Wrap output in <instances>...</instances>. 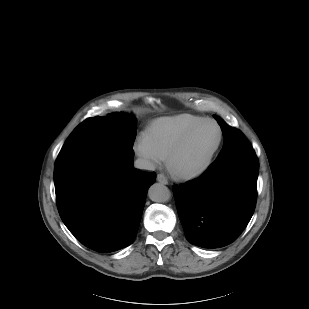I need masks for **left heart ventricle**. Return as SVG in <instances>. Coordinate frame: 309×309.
Here are the masks:
<instances>
[{"label":"left heart ventricle","instance_id":"1","mask_svg":"<svg viewBox=\"0 0 309 309\" xmlns=\"http://www.w3.org/2000/svg\"><path fill=\"white\" fill-rule=\"evenodd\" d=\"M218 134L215 124L202 125L181 149L176 158V165L183 169H194L200 166L215 146Z\"/></svg>","mask_w":309,"mask_h":309}]
</instances>
